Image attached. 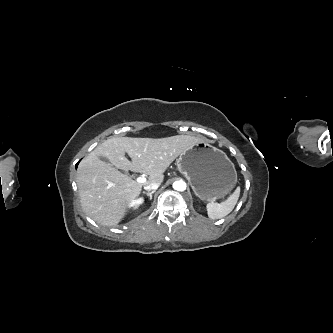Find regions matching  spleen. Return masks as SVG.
<instances>
[{
	"instance_id": "spleen-1",
	"label": "spleen",
	"mask_w": 333,
	"mask_h": 333,
	"mask_svg": "<svg viewBox=\"0 0 333 333\" xmlns=\"http://www.w3.org/2000/svg\"><path fill=\"white\" fill-rule=\"evenodd\" d=\"M240 195V188L237 187L236 190L231 194L228 199L222 203H214L209 201L206 206L208 217L211 219H220L227 216L235 207Z\"/></svg>"
}]
</instances>
